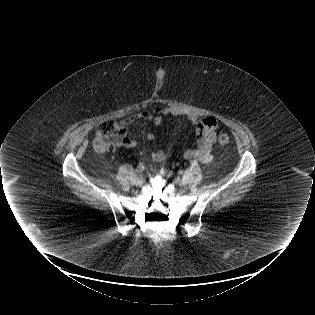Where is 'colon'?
Segmentation results:
<instances>
[{
	"label": "colon",
	"mask_w": 315,
	"mask_h": 315,
	"mask_svg": "<svg viewBox=\"0 0 315 315\" xmlns=\"http://www.w3.org/2000/svg\"><path fill=\"white\" fill-rule=\"evenodd\" d=\"M126 140L127 130L120 123L104 121L97 127L95 142L99 151L108 147L121 146ZM217 141L221 146H227L230 143V137L226 133H221Z\"/></svg>",
	"instance_id": "1"
}]
</instances>
